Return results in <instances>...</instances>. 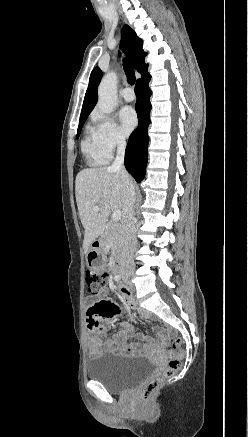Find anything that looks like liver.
Listing matches in <instances>:
<instances>
[{
    "instance_id": "obj_1",
    "label": "liver",
    "mask_w": 248,
    "mask_h": 437,
    "mask_svg": "<svg viewBox=\"0 0 248 437\" xmlns=\"http://www.w3.org/2000/svg\"><path fill=\"white\" fill-rule=\"evenodd\" d=\"M133 183L131 176L127 177ZM76 202L84 227L83 247L88 252L92 243L102 234L111 210L124 214L125 184L119 171L110 167L81 170L75 181ZM99 206V211L94 207Z\"/></svg>"
}]
</instances>
